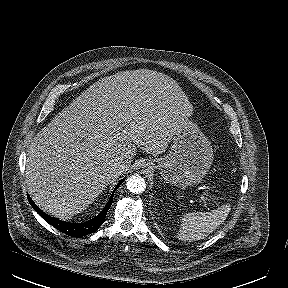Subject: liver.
<instances>
[{"mask_svg":"<svg viewBox=\"0 0 288 288\" xmlns=\"http://www.w3.org/2000/svg\"><path fill=\"white\" fill-rule=\"evenodd\" d=\"M192 111L163 73L138 69L102 78L33 138L25 173L30 196L44 211L70 219L129 169L137 148L164 153ZM114 163L125 169L109 178Z\"/></svg>","mask_w":288,"mask_h":288,"instance_id":"6515ba94","label":"liver"}]
</instances>
